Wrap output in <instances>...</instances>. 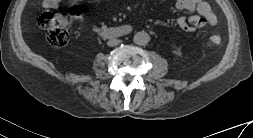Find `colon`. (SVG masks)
<instances>
[{"label": "colon", "instance_id": "5ec220e1", "mask_svg": "<svg viewBox=\"0 0 253 138\" xmlns=\"http://www.w3.org/2000/svg\"><path fill=\"white\" fill-rule=\"evenodd\" d=\"M81 13L79 8H72L66 14L53 12L43 13L39 18V23L42 27L49 30V37L54 45L62 46L67 42L69 35V21L66 16L77 17ZM218 36H212L208 44L210 46L219 43Z\"/></svg>", "mask_w": 253, "mask_h": 138}]
</instances>
